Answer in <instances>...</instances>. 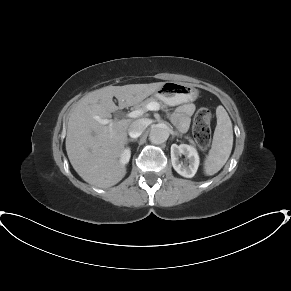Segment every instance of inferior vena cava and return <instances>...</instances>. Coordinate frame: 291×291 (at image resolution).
Returning a JSON list of instances; mask_svg holds the SVG:
<instances>
[{
    "mask_svg": "<svg viewBox=\"0 0 291 291\" xmlns=\"http://www.w3.org/2000/svg\"><path fill=\"white\" fill-rule=\"evenodd\" d=\"M150 124V120L147 118H142L132 122L128 128V134L131 138H138L142 132Z\"/></svg>",
    "mask_w": 291,
    "mask_h": 291,
    "instance_id": "inferior-vena-cava-1",
    "label": "inferior vena cava"
}]
</instances>
